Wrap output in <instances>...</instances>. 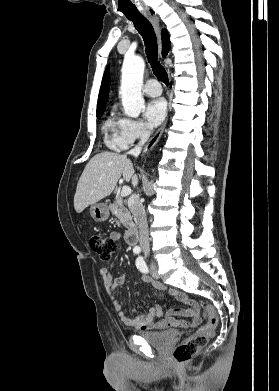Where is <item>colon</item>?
<instances>
[{"instance_id": "5ec220e1", "label": "colon", "mask_w": 279, "mask_h": 391, "mask_svg": "<svg viewBox=\"0 0 279 391\" xmlns=\"http://www.w3.org/2000/svg\"><path fill=\"white\" fill-rule=\"evenodd\" d=\"M88 243L101 261H109L117 250V244L114 239L100 234L90 235ZM205 315L208 319L207 323L175 348L173 358L177 363L189 361L199 350L205 347L209 338L214 334L218 324V315L210 305L205 307Z\"/></svg>"}]
</instances>
